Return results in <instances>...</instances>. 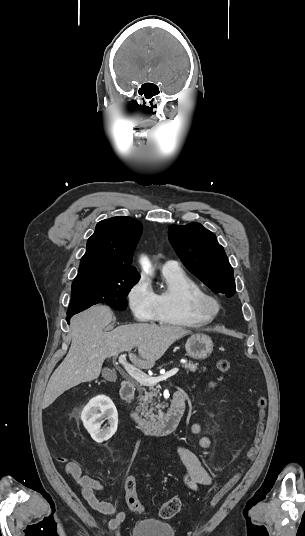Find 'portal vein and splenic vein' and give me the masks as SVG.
<instances>
[{
  "label": "portal vein and splenic vein",
  "instance_id": "obj_1",
  "mask_svg": "<svg viewBox=\"0 0 305 536\" xmlns=\"http://www.w3.org/2000/svg\"><path fill=\"white\" fill-rule=\"evenodd\" d=\"M119 364H122V366H124L127 374H129L131 378H134V380H137L140 386H150V384H157V382H163V380H167V378H171V376H175V374L179 372V368H173V370H170V372H165V370H163V372H160L162 376H157V378H151V376H147V374H144V372H140V370H137V368H134V366L128 364V362H126L125 354H121L119 358Z\"/></svg>",
  "mask_w": 305,
  "mask_h": 536
}]
</instances>
